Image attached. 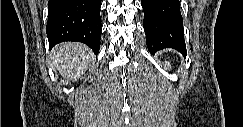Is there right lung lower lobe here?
<instances>
[{"instance_id":"98d812e1","label":"right lung lower lobe","mask_w":243,"mask_h":127,"mask_svg":"<svg viewBox=\"0 0 243 127\" xmlns=\"http://www.w3.org/2000/svg\"><path fill=\"white\" fill-rule=\"evenodd\" d=\"M100 0H49L46 33L52 48L64 41H78L99 53Z\"/></svg>"}]
</instances>
